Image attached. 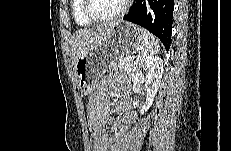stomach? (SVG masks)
Segmentation results:
<instances>
[{"label":"stomach","mask_w":231,"mask_h":151,"mask_svg":"<svg viewBox=\"0 0 231 151\" xmlns=\"http://www.w3.org/2000/svg\"><path fill=\"white\" fill-rule=\"evenodd\" d=\"M142 42L140 29L136 25L125 21L116 22L100 45L78 58L75 66L78 89L84 94H91L111 64L120 56L140 50Z\"/></svg>","instance_id":"0dacf381"}]
</instances>
